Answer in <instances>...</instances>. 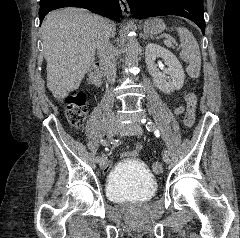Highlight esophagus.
<instances>
[{
	"mask_svg": "<svg viewBox=\"0 0 240 238\" xmlns=\"http://www.w3.org/2000/svg\"><path fill=\"white\" fill-rule=\"evenodd\" d=\"M119 3L122 10V14L125 17H129L131 15V11H130V7L128 5L127 0H119Z\"/></svg>",
	"mask_w": 240,
	"mask_h": 238,
	"instance_id": "obj_1",
	"label": "esophagus"
}]
</instances>
